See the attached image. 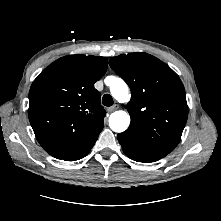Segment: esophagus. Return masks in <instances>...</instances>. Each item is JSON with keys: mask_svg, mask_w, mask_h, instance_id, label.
Returning <instances> with one entry per match:
<instances>
[{"mask_svg": "<svg viewBox=\"0 0 221 221\" xmlns=\"http://www.w3.org/2000/svg\"><path fill=\"white\" fill-rule=\"evenodd\" d=\"M118 108H119V105L115 104V105L107 108V111L108 112H113V111L117 110Z\"/></svg>", "mask_w": 221, "mask_h": 221, "instance_id": "esophagus-1", "label": "esophagus"}]
</instances>
